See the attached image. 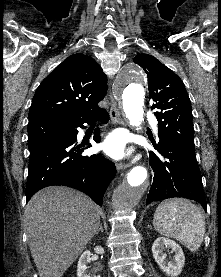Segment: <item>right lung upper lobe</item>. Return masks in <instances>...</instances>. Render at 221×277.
Returning <instances> with one entry per match:
<instances>
[{
  "label": "right lung upper lobe",
  "mask_w": 221,
  "mask_h": 277,
  "mask_svg": "<svg viewBox=\"0 0 221 277\" xmlns=\"http://www.w3.org/2000/svg\"><path fill=\"white\" fill-rule=\"evenodd\" d=\"M107 76L88 55L66 58L39 85L29 111V124L90 116L102 108Z\"/></svg>",
  "instance_id": "right-lung-upper-lobe-1"
}]
</instances>
